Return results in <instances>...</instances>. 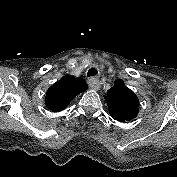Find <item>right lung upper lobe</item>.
Returning <instances> with one entry per match:
<instances>
[{
    "instance_id": "1",
    "label": "right lung upper lobe",
    "mask_w": 177,
    "mask_h": 177,
    "mask_svg": "<svg viewBox=\"0 0 177 177\" xmlns=\"http://www.w3.org/2000/svg\"><path fill=\"white\" fill-rule=\"evenodd\" d=\"M86 88L83 81L75 80L73 77H64L47 90L45 104L52 111H61Z\"/></svg>"
}]
</instances>
